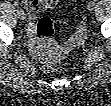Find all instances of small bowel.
<instances>
[{
  "label": "small bowel",
  "instance_id": "1",
  "mask_svg": "<svg viewBox=\"0 0 111 106\" xmlns=\"http://www.w3.org/2000/svg\"><path fill=\"white\" fill-rule=\"evenodd\" d=\"M58 1L56 0H27L25 6L31 15L35 16L39 13L53 8ZM28 32L30 35L34 33V26L32 23L29 24Z\"/></svg>",
  "mask_w": 111,
  "mask_h": 106
}]
</instances>
